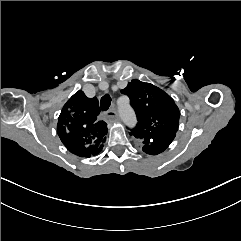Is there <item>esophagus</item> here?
Wrapping results in <instances>:
<instances>
[{
  "instance_id": "esophagus-1",
  "label": "esophagus",
  "mask_w": 241,
  "mask_h": 241,
  "mask_svg": "<svg viewBox=\"0 0 241 241\" xmlns=\"http://www.w3.org/2000/svg\"><path fill=\"white\" fill-rule=\"evenodd\" d=\"M106 118L119 120V114L116 108L112 107L106 112Z\"/></svg>"
}]
</instances>
